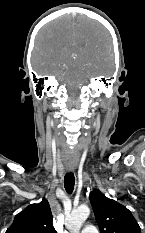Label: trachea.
Masks as SVG:
<instances>
[{"instance_id":"trachea-1","label":"trachea","mask_w":145,"mask_h":233,"mask_svg":"<svg viewBox=\"0 0 145 233\" xmlns=\"http://www.w3.org/2000/svg\"><path fill=\"white\" fill-rule=\"evenodd\" d=\"M75 178L72 172H68L64 178V187L68 194H71L74 189Z\"/></svg>"}]
</instances>
